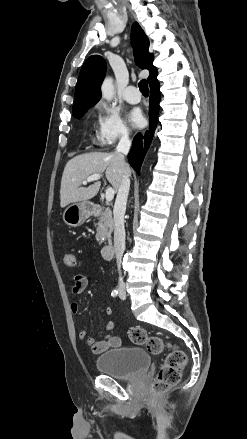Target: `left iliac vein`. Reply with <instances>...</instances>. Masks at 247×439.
Masks as SVG:
<instances>
[{"instance_id":"left-iliac-vein-1","label":"left iliac vein","mask_w":247,"mask_h":439,"mask_svg":"<svg viewBox=\"0 0 247 439\" xmlns=\"http://www.w3.org/2000/svg\"><path fill=\"white\" fill-rule=\"evenodd\" d=\"M119 297H120V299H122V300L126 299V292H125V289H124V288H122V289L120 290Z\"/></svg>"}]
</instances>
